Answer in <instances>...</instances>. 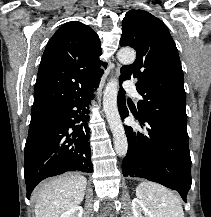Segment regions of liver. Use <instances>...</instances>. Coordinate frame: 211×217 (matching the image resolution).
<instances>
[{
	"mask_svg": "<svg viewBox=\"0 0 211 217\" xmlns=\"http://www.w3.org/2000/svg\"><path fill=\"white\" fill-rule=\"evenodd\" d=\"M87 180L80 174H67L40 186L36 204V217H60L78 206L85 195Z\"/></svg>",
	"mask_w": 211,
	"mask_h": 217,
	"instance_id": "obj_1",
	"label": "liver"
}]
</instances>
